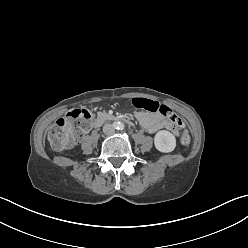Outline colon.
<instances>
[{
    "instance_id": "obj_1",
    "label": "colon",
    "mask_w": 248,
    "mask_h": 248,
    "mask_svg": "<svg viewBox=\"0 0 248 248\" xmlns=\"http://www.w3.org/2000/svg\"><path fill=\"white\" fill-rule=\"evenodd\" d=\"M132 104L139 109L158 112L183 127L180 117L173 114L166 105L139 97L133 98ZM91 119L92 114L84 108L74 109L59 118L48 132V140L51 146L56 150H63L73 145L83 136L84 131L89 127ZM181 142L184 145L190 143V135L187 130L182 131Z\"/></svg>"
}]
</instances>
